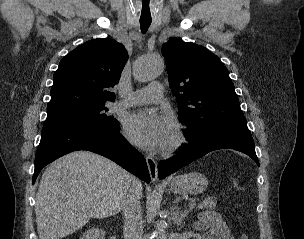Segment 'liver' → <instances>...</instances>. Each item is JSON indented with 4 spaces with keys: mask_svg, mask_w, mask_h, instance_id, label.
Wrapping results in <instances>:
<instances>
[{
    "mask_svg": "<svg viewBox=\"0 0 304 239\" xmlns=\"http://www.w3.org/2000/svg\"><path fill=\"white\" fill-rule=\"evenodd\" d=\"M128 175L111 160L88 151L71 152L53 162L43 172L36 194L39 238L61 239L90 218L119 213ZM142 192L139 182V199Z\"/></svg>",
    "mask_w": 304,
    "mask_h": 239,
    "instance_id": "6515ba94",
    "label": "liver"
}]
</instances>
